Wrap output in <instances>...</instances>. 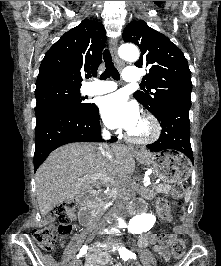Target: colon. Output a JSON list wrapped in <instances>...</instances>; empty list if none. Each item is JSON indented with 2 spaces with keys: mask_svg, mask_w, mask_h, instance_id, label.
<instances>
[{
  "mask_svg": "<svg viewBox=\"0 0 221 266\" xmlns=\"http://www.w3.org/2000/svg\"><path fill=\"white\" fill-rule=\"evenodd\" d=\"M185 191V185L177 184L174 187V196L172 200V205L178 207L180 205V198ZM76 203L74 201H66L52 210V214L58 219L59 226L55 227H44L41 229H35L32 233L34 239L38 242L41 248L45 250H52L56 244L58 235L65 236L72 232L71 222L74 218ZM158 213L161 219L165 221H170L171 211L170 206L165 201H160L158 203ZM159 243L166 245L169 242L172 243V255L174 259H180L186 250L185 242L182 239H175L172 234L161 233L158 237Z\"/></svg>",
  "mask_w": 221,
  "mask_h": 266,
  "instance_id": "1",
  "label": "colon"
}]
</instances>
